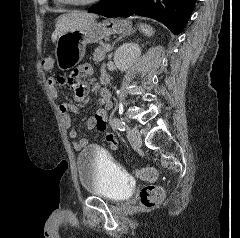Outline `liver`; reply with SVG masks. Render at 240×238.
Wrapping results in <instances>:
<instances>
[{
  "label": "liver",
  "mask_w": 240,
  "mask_h": 238,
  "mask_svg": "<svg viewBox=\"0 0 240 238\" xmlns=\"http://www.w3.org/2000/svg\"><path fill=\"white\" fill-rule=\"evenodd\" d=\"M97 15L87 12L74 11L61 15L55 25L56 29L52 35V41H56L57 37L67 31H71L81 27L88 21H94Z\"/></svg>",
  "instance_id": "liver-1"
}]
</instances>
